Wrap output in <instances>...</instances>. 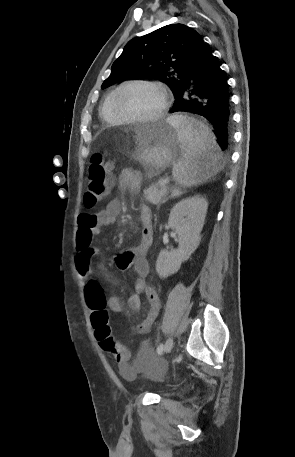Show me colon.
Wrapping results in <instances>:
<instances>
[{
    "label": "colon",
    "mask_w": 295,
    "mask_h": 457,
    "mask_svg": "<svg viewBox=\"0 0 295 457\" xmlns=\"http://www.w3.org/2000/svg\"><path fill=\"white\" fill-rule=\"evenodd\" d=\"M112 164L105 159L102 153H95L90 160L88 169V185L84 195V204L87 208L96 206L105 197L113 184L110 174ZM86 300L91 309V322L98 341L99 350L112 355V362L129 360L130 352L126 351L121 343L116 342L109 326V316L106 303L99 284L95 280L87 283L85 288Z\"/></svg>",
    "instance_id": "1"
}]
</instances>
